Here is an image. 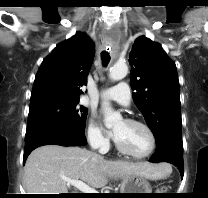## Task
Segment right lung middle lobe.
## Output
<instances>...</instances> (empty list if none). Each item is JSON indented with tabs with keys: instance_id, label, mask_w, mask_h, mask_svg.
Masks as SVG:
<instances>
[{
	"instance_id": "dd1d6c3e",
	"label": "right lung middle lobe",
	"mask_w": 208,
	"mask_h": 198,
	"mask_svg": "<svg viewBox=\"0 0 208 198\" xmlns=\"http://www.w3.org/2000/svg\"><path fill=\"white\" fill-rule=\"evenodd\" d=\"M78 103V100H59L30 107L27 130L46 124H63L85 134L88 111Z\"/></svg>"
}]
</instances>
